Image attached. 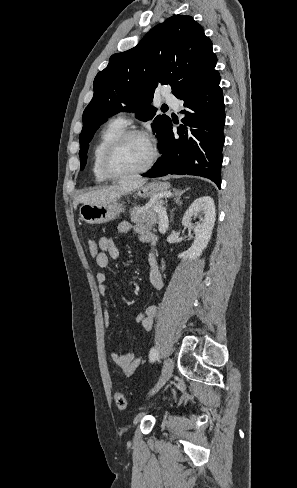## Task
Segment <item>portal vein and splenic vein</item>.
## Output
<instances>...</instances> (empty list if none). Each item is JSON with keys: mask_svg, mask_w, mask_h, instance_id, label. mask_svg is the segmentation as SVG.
<instances>
[{"mask_svg": "<svg viewBox=\"0 0 297 488\" xmlns=\"http://www.w3.org/2000/svg\"><path fill=\"white\" fill-rule=\"evenodd\" d=\"M156 211L159 215V226H160V229H162L164 227L166 221H167V215H166V212L162 206H157Z\"/></svg>", "mask_w": 297, "mask_h": 488, "instance_id": "18ae733b", "label": "portal vein and splenic vein"}]
</instances>
